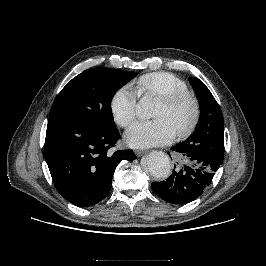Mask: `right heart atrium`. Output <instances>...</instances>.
<instances>
[{
    "mask_svg": "<svg viewBox=\"0 0 266 266\" xmlns=\"http://www.w3.org/2000/svg\"><path fill=\"white\" fill-rule=\"evenodd\" d=\"M110 108L116 123L127 127L136 117L137 93L129 86L119 88L111 99Z\"/></svg>",
    "mask_w": 266,
    "mask_h": 266,
    "instance_id": "1",
    "label": "right heart atrium"
}]
</instances>
